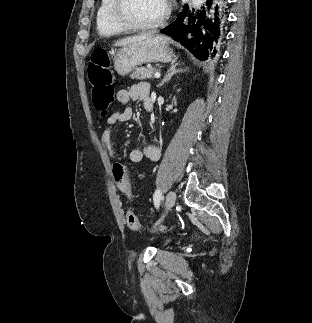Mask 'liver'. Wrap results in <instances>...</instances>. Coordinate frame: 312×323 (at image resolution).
Returning a JSON list of instances; mask_svg holds the SVG:
<instances>
[{
	"mask_svg": "<svg viewBox=\"0 0 312 323\" xmlns=\"http://www.w3.org/2000/svg\"><path fill=\"white\" fill-rule=\"evenodd\" d=\"M147 38H152V34H140V36H128V38H122V40H117L113 46H127V44H132V42H139V40H147Z\"/></svg>",
	"mask_w": 312,
	"mask_h": 323,
	"instance_id": "6515ba94",
	"label": "liver"
}]
</instances>
